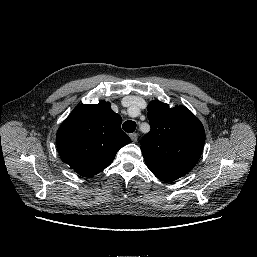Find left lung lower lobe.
Returning a JSON list of instances; mask_svg holds the SVG:
<instances>
[{"instance_id":"obj_1","label":"left lung lower lobe","mask_w":257,"mask_h":257,"mask_svg":"<svg viewBox=\"0 0 257 257\" xmlns=\"http://www.w3.org/2000/svg\"><path fill=\"white\" fill-rule=\"evenodd\" d=\"M158 179L165 181V182H171L176 180L177 178H173L171 176H167V175H163V174H157V173H153Z\"/></svg>"}]
</instances>
